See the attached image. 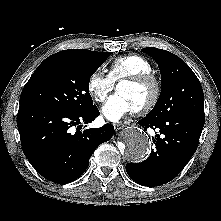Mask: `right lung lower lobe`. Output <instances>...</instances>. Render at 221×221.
Instances as JSON below:
<instances>
[{"label": "right lung lower lobe", "instance_id": "98d812e1", "mask_svg": "<svg viewBox=\"0 0 221 221\" xmlns=\"http://www.w3.org/2000/svg\"><path fill=\"white\" fill-rule=\"evenodd\" d=\"M98 115L96 106L73 113L43 105H20L17 125L26 158L52 182L76 180L87 169L95 149L113 136L114 127L110 124L80 131V123H91ZM74 126L76 132L71 129Z\"/></svg>", "mask_w": 221, "mask_h": 221}]
</instances>
